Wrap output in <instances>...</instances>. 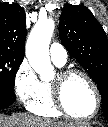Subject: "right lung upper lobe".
Wrapping results in <instances>:
<instances>
[{"label": "right lung upper lobe", "mask_w": 108, "mask_h": 127, "mask_svg": "<svg viewBox=\"0 0 108 127\" xmlns=\"http://www.w3.org/2000/svg\"><path fill=\"white\" fill-rule=\"evenodd\" d=\"M25 12L16 3L0 4V53L24 58Z\"/></svg>", "instance_id": "1"}]
</instances>
